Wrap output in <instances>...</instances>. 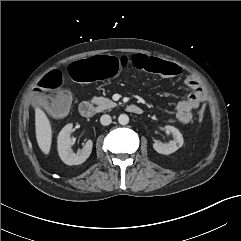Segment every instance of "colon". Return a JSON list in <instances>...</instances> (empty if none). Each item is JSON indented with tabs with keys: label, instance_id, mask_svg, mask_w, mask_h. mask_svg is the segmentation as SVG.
Here are the masks:
<instances>
[{
	"label": "colon",
	"instance_id": "1",
	"mask_svg": "<svg viewBox=\"0 0 241 241\" xmlns=\"http://www.w3.org/2000/svg\"><path fill=\"white\" fill-rule=\"evenodd\" d=\"M127 65L147 71L149 73L160 75L163 79H180L184 75V70L180 65L167 63L159 59H150L143 56L130 55L128 58L119 52L109 51L92 55L85 60H79L72 63L68 69L70 80L76 84L94 83L98 80H105L114 75L123 73ZM62 74L54 71L45 76L39 83L36 94L56 90L62 85ZM44 108L51 112H60L65 110L70 104V95L66 92H60L49 96H36ZM204 117V109H201L198 115L199 121Z\"/></svg>",
	"mask_w": 241,
	"mask_h": 241
}]
</instances>
